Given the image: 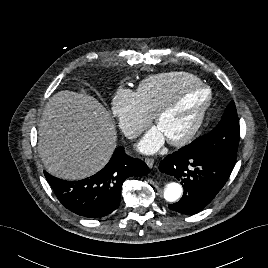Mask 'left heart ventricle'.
I'll list each match as a JSON object with an SVG mask.
<instances>
[{"instance_id": "left-heart-ventricle-1", "label": "left heart ventricle", "mask_w": 268, "mask_h": 268, "mask_svg": "<svg viewBox=\"0 0 268 268\" xmlns=\"http://www.w3.org/2000/svg\"><path fill=\"white\" fill-rule=\"evenodd\" d=\"M206 93L191 89L180 96L178 105L158 123L166 139L181 136L193 123Z\"/></svg>"}]
</instances>
